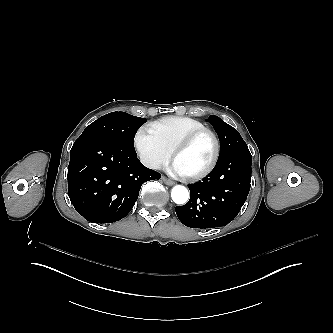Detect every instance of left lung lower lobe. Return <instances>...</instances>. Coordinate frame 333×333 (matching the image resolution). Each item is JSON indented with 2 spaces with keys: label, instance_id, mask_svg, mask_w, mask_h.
Masks as SVG:
<instances>
[{
  "label": "left lung lower lobe",
  "instance_id": "1",
  "mask_svg": "<svg viewBox=\"0 0 333 333\" xmlns=\"http://www.w3.org/2000/svg\"><path fill=\"white\" fill-rule=\"evenodd\" d=\"M251 163L248 147L218 159L202 181L188 185L190 200L176 207L179 220L191 228H215L232 221L250 190Z\"/></svg>",
  "mask_w": 333,
  "mask_h": 333
}]
</instances>
